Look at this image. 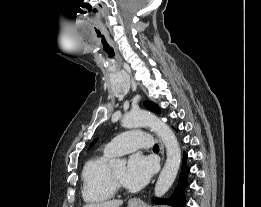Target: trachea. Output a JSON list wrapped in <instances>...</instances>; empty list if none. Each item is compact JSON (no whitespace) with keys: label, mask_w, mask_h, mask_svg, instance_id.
<instances>
[{"label":"trachea","mask_w":261,"mask_h":207,"mask_svg":"<svg viewBox=\"0 0 261 207\" xmlns=\"http://www.w3.org/2000/svg\"><path fill=\"white\" fill-rule=\"evenodd\" d=\"M153 150H159L158 145H155V146L153 147Z\"/></svg>","instance_id":"obj_1"}]
</instances>
